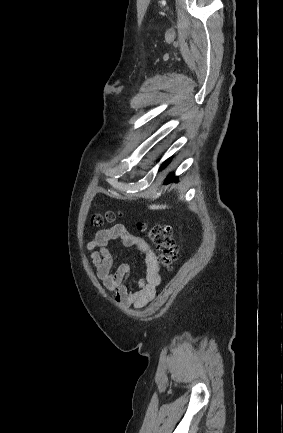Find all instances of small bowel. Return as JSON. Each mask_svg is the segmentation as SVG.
<instances>
[{
	"label": "small bowel",
	"mask_w": 283,
	"mask_h": 433,
	"mask_svg": "<svg viewBox=\"0 0 283 433\" xmlns=\"http://www.w3.org/2000/svg\"><path fill=\"white\" fill-rule=\"evenodd\" d=\"M119 241L126 247L138 249L145 266L144 275L137 280L138 289L128 285L130 268L127 264L115 265L109 245ZM97 277L111 293L112 301L128 310L139 309L150 302L160 283V269L157 256L151 245L144 239L131 234L122 224H115L96 232L87 245Z\"/></svg>",
	"instance_id": "obj_1"
}]
</instances>
